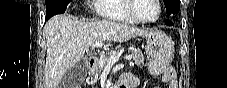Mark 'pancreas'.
<instances>
[{"mask_svg": "<svg viewBox=\"0 0 227 88\" xmlns=\"http://www.w3.org/2000/svg\"><path fill=\"white\" fill-rule=\"evenodd\" d=\"M130 52L136 64L138 65L144 64V56L140 49L134 48ZM114 55L117 56L118 53ZM109 57L107 56L102 57L99 61V65L91 69L90 75L93 77L97 76L108 65Z\"/></svg>", "mask_w": 227, "mask_h": 88, "instance_id": "1", "label": "pancreas"}]
</instances>
